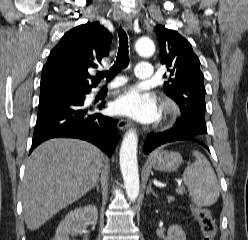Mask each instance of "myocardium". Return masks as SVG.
Wrapping results in <instances>:
<instances>
[{
	"mask_svg": "<svg viewBox=\"0 0 248 240\" xmlns=\"http://www.w3.org/2000/svg\"><path fill=\"white\" fill-rule=\"evenodd\" d=\"M179 105L171 98H164L160 105V116L164 124L174 123L180 116Z\"/></svg>",
	"mask_w": 248,
	"mask_h": 240,
	"instance_id": "f54148a6",
	"label": "myocardium"
}]
</instances>
